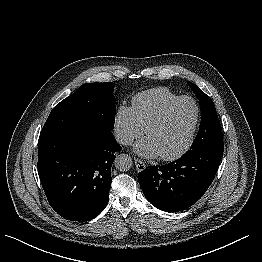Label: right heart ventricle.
I'll return each mask as SVG.
<instances>
[{"label": "right heart ventricle", "mask_w": 262, "mask_h": 262, "mask_svg": "<svg viewBox=\"0 0 262 262\" xmlns=\"http://www.w3.org/2000/svg\"><path fill=\"white\" fill-rule=\"evenodd\" d=\"M178 97L166 87L153 88L133 96L131 108L140 125L146 129L159 112Z\"/></svg>", "instance_id": "e07e8e85"}]
</instances>
